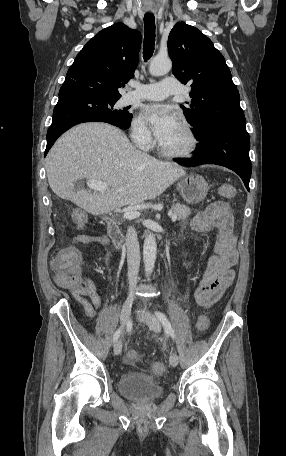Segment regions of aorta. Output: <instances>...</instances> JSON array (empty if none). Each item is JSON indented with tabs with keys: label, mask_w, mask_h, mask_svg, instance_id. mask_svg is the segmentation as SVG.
Instances as JSON below:
<instances>
[{
	"label": "aorta",
	"mask_w": 286,
	"mask_h": 456,
	"mask_svg": "<svg viewBox=\"0 0 286 456\" xmlns=\"http://www.w3.org/2000/svg\"><path fill=\"white\" fill-rule=\"evenodd\" d=\"M172 68V62L169 58L155 57L152 59L149 72L153 76H162L167 74ZM157 255L156 238L153 233L147 234L143 245V261L146 276L149 277L153 272Z\"/></svg>",
	"instance_id": "aorta-1"
}]
</instances>
